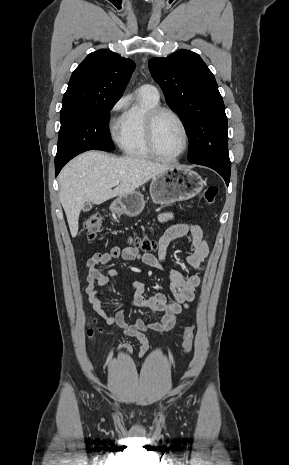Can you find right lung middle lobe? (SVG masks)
<instances>
[{
  "label": "right lung middle lobe",
  "mask_w": 289,
  "mask_h": 465,
  "mask_svg": "<svg viewBox=\"0 0 289 465\" xmlns=\"http://www.w3.org/2000/svg\"><path fill=\"white\" fill-rule=\"evenodd\" d=\"M119 99L88 108L60 112L58 149L55 162L70 160L88 150H113L108 128L109 111Z\"/></svg>",
  "instance_id": "dd1d6c3e"
}]
</instances>
